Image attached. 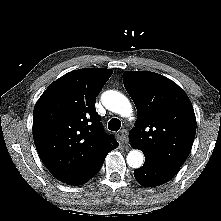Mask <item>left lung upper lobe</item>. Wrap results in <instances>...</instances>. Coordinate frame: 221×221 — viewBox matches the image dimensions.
Listing matches in <instances>:
<instances>
[{"label":"left lung upper lobe","instance_id":"5c2ea615","mask_svg":"<svg viewBox=\"0 0 221 221\" xmlns=\"http://www.w3.org/2000/svg\"><path fill=\"white\" fill-rule=\"evenodd\" d=\"M123 83L138 112L129 133L130 144L145 157L179 170L196 133V118L187 94L154 72H125Z\"/></svg>","mask_w":221,"mask_h":221}]
</instances>
